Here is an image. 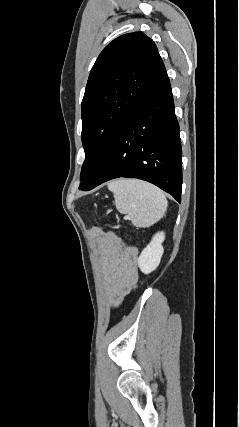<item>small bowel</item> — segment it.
Segmentation results:
<instances>
[{
    "label": "small bowel",
    "instance_id": "small-bowel-1",
    "mask_svg": "<svg viewBox=\"0 0 239 427\" xmlns=\"http://www.w3.org/2000/svg\"><path fill=\"white\" fill-rule=\"evenodd\" d=\"M91 237L100 251L108 284L109 303L116 307L137 284V249L125 245L113 233L98 228L91 230Z\"/></svg>",
    "mask_w": 239,
    "mask_h": 427
}]
</instances>
